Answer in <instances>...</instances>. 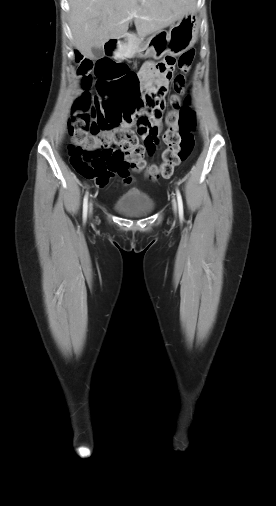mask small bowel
Here are the masks:
<instances>
[{
  "instance_id": "small-bowel-1",
  "label": "small bowel",
  "mask_w": 276,
  "mask_h": 506,
  "mask_svg": "<svg viewBox=\"0 0 276 506\" xmlns=\"http://www.w3.org/2000/svg\"><path fill=\"white\" fill-rule=\"evenodd\" d=\"M164 61L160 63H163ZM160 63H155L153 61L146 62L141 69L142 74L141 80L143 81L147 89H152L154 87H161L164 89L166 94L169 88V78L167 77V74L161 72L158 69ZM164 109L165 103L162 98L159 103V106L155 108L153 115L151 117V132L154 135H158L160 133ZM122 126L128 127V124L124 123L122 124ZM141 135L145 137L146 134L144 133ZM115 175H119L120 177H122L124 183L126 184L132 182V178L129 176L127 169L123 166L122 160L116 157H112L108 162L106 172L101 176L94 178L96 186L99 188H105L108 185L109 180Z\"/></svg>"
}]
</instances>
